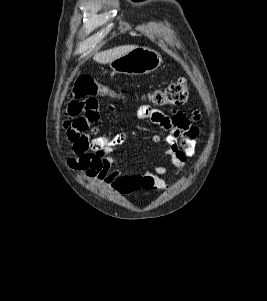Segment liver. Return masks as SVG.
<instances>
[{
    "label": "liver",
    "instance_id": "6515ba94",
    "mask_svg": "<svg viewBox=\"0 0 267 301\" xmlns=\"http://www.w3.org/2000/svg\"><path fill=\"white\" fill-rule=\"evenodd\" d=\"M137 48L135 45H126V46H120L113 49H109L106 51L99 52L94 55V60L97 63L100 64H107L111 61L117 59L118 57H121L128 52L132 51L133 49Z\"/></svg>",
    "mask_w": 267,
    "mask_h": 301
}]
</instances>
